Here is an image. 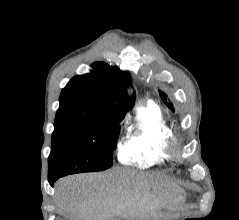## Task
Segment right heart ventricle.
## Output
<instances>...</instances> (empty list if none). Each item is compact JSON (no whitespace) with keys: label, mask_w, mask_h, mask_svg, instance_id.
Wrapping results in <instances>:
<instances>
[{"label":"right heart ventricle","mask_w":239,"mask_h":220,"mask_svg":"<svg viewBox=\"0 0 239 220\" xmlns=\"http://www.w3.org/2000/svg\"><path fill=\"white\" fill-rule=\"evenodd\" d=\"M171 136L161 109L148 103L138 110L127 137L119 146L118 159L124 165L135 167L160 164L167 156Z\"/></svg>","instance_id":"right-heart-ventricle-1"}]
</instances>
